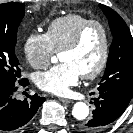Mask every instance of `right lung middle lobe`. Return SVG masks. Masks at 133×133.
<instances>
[{
  "mask_svg": "<svg viewBox=\"0 0 133 133\" xmlns=\"http://www.w3.org/2000/svg\"><path fill=\"white\" fill-rule=\"evenodd\" d=\"M24 7V3L0 4V90L14 87L21 77L15 45Z\"/></svg>",
  "mask_w": 133,
  "mask_h": 133,
  "instance_id": "dd1d6c3e",
  "label": "right lung middle lobe"
}]
</instances>
